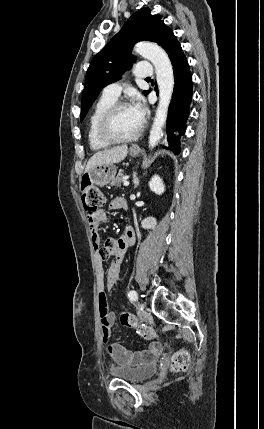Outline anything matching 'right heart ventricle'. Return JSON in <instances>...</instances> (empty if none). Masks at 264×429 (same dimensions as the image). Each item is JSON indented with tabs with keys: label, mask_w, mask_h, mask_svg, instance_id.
Instances as JSON below:
<instances>
[{
	"label": "right heart ventricle",
	"mask_w": 264,
	"mask_h": 429,
	"mask_svg": "<svg viewBox=\"0 0 264 429\" xmlns=\"http://www.w3.org/2000/svg\"><path fill=\"white\" fill-rule=\"evenodd\" d=\"M116 102L104 95L96 102L88 122V141L91 149L102 150L110 146V143L103 141L98 135V123L106 110Z\"/></svg>",
	"instance_id": "e07e8e85"
}]
</instances>
